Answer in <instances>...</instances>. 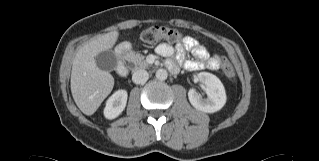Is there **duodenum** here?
<instances>
[{
  "instance_id": "obj_1",
  "label": "duodenum",
  "mask_w": 319,
  "mask_h": 161,
  "mask_svg": "<svg viewBox=\"0 0 319 161\" xmlns=\"http://www.w3.org/2000/svg\"><path fill=\"white\" fill-rule=\"evenodd\" d=\"M131 49V44H121L116 50L115 58L117 61V73L120 77H125L128 74L126 56Z\"/></svg>"
}]
</instances>
